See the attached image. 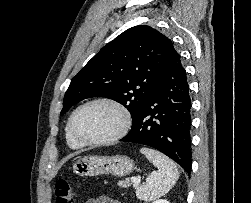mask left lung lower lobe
<instances>
[{
    "instance_id": "1",
    "label": "left lung lower lobe",
    "mask_w": 251,
    "mask_h": 203,
    "mask_svg": "<svg viewBox=\"0 0 251 203\" xmlns=\"http://www.w3.org/2000/svg\"><path fill=\"white\" fill-rule=\"evenodd\" d=\"M186 71L174 50L130 132L120 141L153 147L191 171V98Z\"/></svg>"
}]
</instances>
